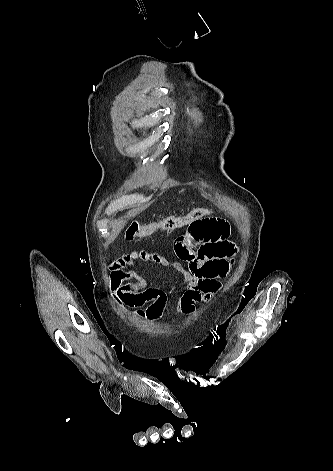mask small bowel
<instances>
[{
    "label": "small bowel",
    "instance_id": "c3829d8e",
    "mask_svg": "<svg viewBox=\"0 0 333 471\" xmlns=\"http://www.w3.org/2000/svg\"><path fill=\"white\" fill-rule=\"evenodd\" d=\"M230 224L220 217L207 215L188 225L175 242L178 258L172 261L147 250L131 251L110 266V292L123 307L134 308V315L148 323L160 321L166 310L171 290L150 286L131 266L138 260L150 262L160 269H172L183 279L186 289L177 301V313L190 316L196 304L214 299L222 288L234 261L236 245L229 239Z\"/></svg>",
    "mask_w": 333,
    "mask_h": 471
}]
</instances>
